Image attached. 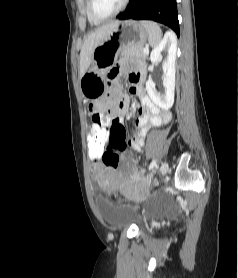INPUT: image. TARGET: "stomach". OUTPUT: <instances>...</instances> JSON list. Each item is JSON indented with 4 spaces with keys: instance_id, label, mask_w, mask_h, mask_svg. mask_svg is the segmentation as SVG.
I'll return each instance as SVG.
<instances>
[{
    "instance_id": "0dacf381",
    "label": "stomach",
    "mask_w": 238,
    "mask_h": 278,
    "mask_svg": "<svg viewBox=\"0 0 238 278\" xmlns=\"http://www.w3.org/2000/svg\"><path fill=\"white\" fill-rule=\"evenodd\" d=\"M149 36L142 22L126 20L113 28L108 37L98 45L92 55V65L80 79L83 96L93 102L106 91V71L113 67L122 49L129 45H144Z\"/></svg>"
}]
</instances>
